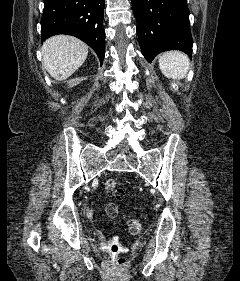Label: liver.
I'll return each instance as SVG.
<instances>
[{
	"label": "liver",
	"mask_w": 240,
	"mask_h": 281,
	"mask_svg": "<svg viewBox=\"0 0 240 281\" xmlns=\"http://www.w3.org/2000/svg\"><path fill=\"white\" fill-rule=\"evenodd\" d=\"M41 52L47 72L54 79L63 81L85 62L88 47L75 37L57 35L44 42Z\"/></svg>",
	"instance_id": "obj_1"
}]
</instances>
